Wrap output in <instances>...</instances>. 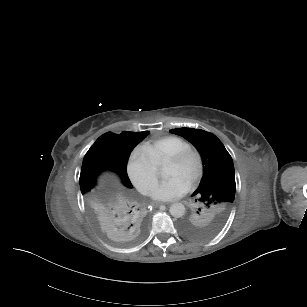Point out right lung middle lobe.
Wrapping results in <instances>:
<instances>
[{"label":"right lung middle lobe","instance_id":"1","mask_svg":"<svg viewBox=\"0 0 307 307\" xmlns=\"http://www.w3.org/2000/svg\"><path fill=\"white\" fill-rule=\"evenodd\" d=\"M108 169L107 161L94 151L86 153L80 174V188L84 193L95 185L97 176Z\"/></svg>","mask_w":307,"mask_h":307}]
</instances>
